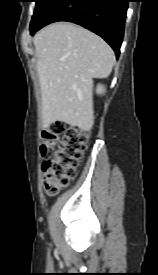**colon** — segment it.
Returning a JSON list of instances; mask_svg holds the SVG:
<instances>
[{"mask_svg": "<svg viewBox=\"0 0 158 275\" xmlns=\"http://www.w3.org/2000/svg\"><path fill=\"white\" fill-rule=\"evenodd\" d=\"M88 134L80 129L54 122L41 134L43 186L48 196H55L76 176V169L86 148Z\"/></svg>", "mask_w": 158, "mask_h": 275, "instance_id": "1", "label": "colon"}]
</instances>
